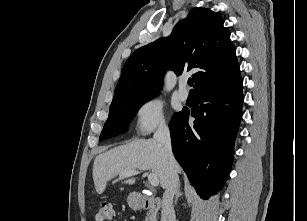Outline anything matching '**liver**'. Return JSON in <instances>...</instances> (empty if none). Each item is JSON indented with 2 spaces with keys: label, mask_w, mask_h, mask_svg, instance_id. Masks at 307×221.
<instances>
[{
  "label": "liver",
  "mask_w": 307,
  "mask_h": 221,
  "mask_svg": "<svg viewBox=\"0 0 307 221\" xmlns=\"http://www.w3.org/2000/svg\"><path fill=\"white\" fill-rule=\"evenodd\" d=\"M138 169L151 170L161 186L167 187L168 162L162 147L154 139H138L114 147L95 158L92 175L96 192L102 194L107 182L117 175ZM177 171L180 172L179 165ZM135 181V178H131L124 183L132 185Z\"/></svg>",
  "instance_id": "6515ba94"
}]
</instances>
